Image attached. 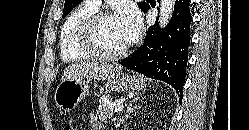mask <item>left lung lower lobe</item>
<instances>
[{
	"label": "left lung lower lobe",
	"mask_w": 249,
	"mask_h": 130,
	"mask_svg": "<svg viewBox=\"0 0 249 130\" xmlns=\"http://www.w3.org/2000/svg\"><path fill=\"white\" fill-rule=\"evenodd\" d=\"M191 22L190 0H176L168 25L162 31H159L158 25V28L150 27L144 43L119 64L167 82L177 91L181 101Z\"/></svg>",
	"instance_id": "left-lung-lower-lobe-1"
}]
</instances>
